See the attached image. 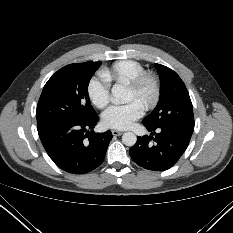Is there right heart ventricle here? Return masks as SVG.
Here are the masks:
<instances>
[{"instance_id":"right-heart-ventricle-1","label":"right heart ventricle","mask_w":233,"mask_h":233,"mask_svg":"<svg viewBox=\"0 0 233 233\" xmlns=\"http://www.w3.org/2000/svg\"><path fill=\"white\" fill-rule=\"evenodd\" d=\"M144 67L135 60H119L112 64L110 68L101 70L100 74L109 82H130L137 75L142 73Z\"/></svg>"}]
</instances>
